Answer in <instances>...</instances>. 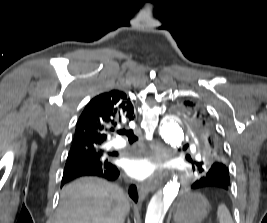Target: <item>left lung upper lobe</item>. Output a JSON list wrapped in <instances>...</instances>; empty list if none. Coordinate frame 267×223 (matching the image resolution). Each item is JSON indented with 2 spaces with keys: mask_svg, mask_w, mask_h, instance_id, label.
Returning a JSON list of instances; mask_svg holds the SVG:
<instances>
[{
  "mask_svg": "<svg viewBox=\"0 0 267 223\" xmlns=\"http://www.w3.org/2000/svg\"><path fill=\"white\" fill-rule=\"evenodd\" d=\"M176 109L185 120L195 143L200 148L201 158L194 159V171H227L228 159L215 123L209 113L193 101L184 100Z\"/></svg>",
  "mask_w": 267,
  "mask_h": 223,
  "instance_id": "left-lung-upper-lobe-1",
  "label": "left lung upper lobe"
}]
</instances>
